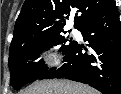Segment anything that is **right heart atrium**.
Listing matches in <instances>:
<instances>
[{"label": "right heart atrium", "mask_w": 121, "mask_h": 94, "mask_svg": "<svg viewBox=\"0 0 121 94\" xmlns=\"http://www.w3.org/2000/svg\"><path fill=\"white\" fill-rule=\"evenodd\" d=\"M41 59L43 61H52L54 64H58L59 63V58L57 56V54H55L54 52L46 49L41 53Z\"/></svg>", "instance_id": "d8ad5b80"}]
</instances>
